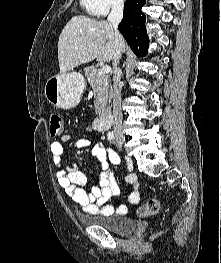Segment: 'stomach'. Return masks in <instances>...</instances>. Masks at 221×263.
I'll use <instances>...</instances> for the list:
<instances>
[{
	"label": "stomach",
	"mask_w": 221,
	"mask_h": 263,
	"mask_svg": "<svg viewBox=\"0 0 221 263\" xmlns=\"http://www.w3.org/2000/svg\"><path fill=\"white\" fill-rule=\"evenodd\" d=\"M85 90V79L79 72L50 77L44 89L46 99L55 107L69 110L76 107Z\"/></svg>",
	"instance_id": "stomach-1"
}]
</instances>
